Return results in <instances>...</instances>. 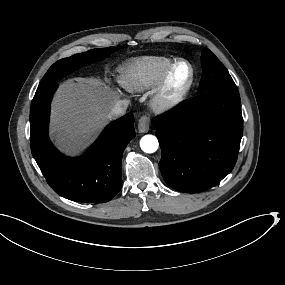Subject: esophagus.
Masks as SVG:
<instances>
[{
  "instance_id": "obj_1",
  "label": "esophagus",
  "mask_w": 285,
  "mask_h": 285,
  "mask_svg": "<svg viewBox=\"0 0 285 285\" xmlns=\"http://www.w3.org/2000/svg\"><path fill=\"white\" fill-rule=\"evenodd\" d=\"M150 129V118L143 115L138 121V130L140 133H145Z\"/></svg>"
}]
</instances>
